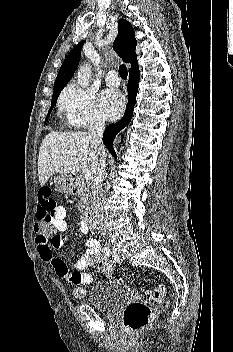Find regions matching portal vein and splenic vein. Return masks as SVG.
<instances>
[{"mask_svg": "<svg viewBox=\"0 0 233 352\" xmlns=\"http://www.w3.org/2000/svg\"><path fill=\"white\" fill-rule=\"evenodd\" d=\"M84 178L86 181H90L92 179V174L90 172H87L84 174Z\"/></svg>", "mask_w": 233, "mask_h": 352, "instance_id": "1", "label": "portal vein and splenic vein"}]
</instances>
